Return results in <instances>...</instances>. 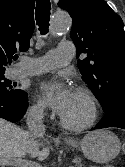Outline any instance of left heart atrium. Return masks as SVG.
Here are the masks:
<instances>
[{
  "label": "left heart atrium",
  "instance_id": "39dd6f15",
  "mask_svg": "<svg viewBox=\"0 0 125 167\" xmlns=\"http://www.w3.org/2000/svg\"><path fill=\"white\" fill-rule=\"evenodd\" d=\"M39 91L44 102L60 115L66 112L74 96V90L68 83L56 79L42 82Z\"/></svg>",
  "mask_w": 125,
  "mask_h": 167
}]
</instances>
